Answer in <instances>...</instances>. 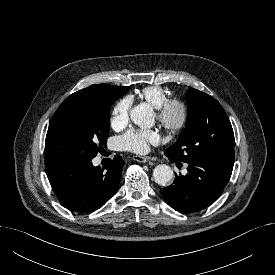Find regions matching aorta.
I'll return each mask as SVG.
<instances>
[{
    "label": "aorta",
    "mask_w": 275,
    "mask_h": 275,
    "mask_svg": "<svg viewBox=\"0 0 275 275\" xmlns=\"http://www.w3.org/2000/svg\"><path fill=\"white\" fill-rule=\"evenodd\" d=\"M130 118L134 124L141 128H150L154 125L153 110L150 105L145 103L135 106L130 112ZM173 176V170L165 164H160L153 170L154 181L162 186L169 183Z\"/></svg>",
    "instance_id": "1"
}]
</instances>
